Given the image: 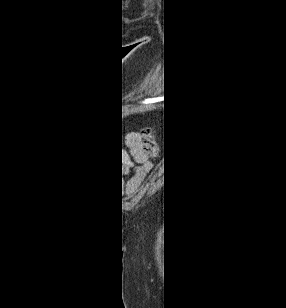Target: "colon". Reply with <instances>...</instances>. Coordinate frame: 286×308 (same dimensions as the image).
I'll use <instances>...</instances> for the list:
<instances>
[{
    "instance_id": "obj_1",
    "label": "colon",
    "mask_w": 286,
    "mask_h": 308,
    "mask_svg": "<svg viewBox=\"0 0 286 308\" xmlns=\"http://www.w3.org/2000/svg\"><path fill=\"white\" fill-rule=\"evenodd\" d=\"M152 135H153V131L152 129H147L145 131V140H144V145L145 146H150V144L152 143Z\"/></svg>"
}]
</instances>
